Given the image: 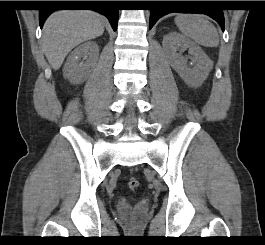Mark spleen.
Masks as SVG:
<instances>
[{
  "label": "spleen",
  "mask_w": 265,
  "mask_h": 245,
  "mask_svg": "<svg viewBox=\"0 0 265 245\" xmlns=\"http://www.w3.org/2000/svg\"><path fill=\"white\" fill-rule=\"evenodd\" d=\"M175 24L182 34L205 47H217L219 36L216 28L199 14H179Z\"/></svg>",
  "instance_id": "obj_1"
}]
</instances>
